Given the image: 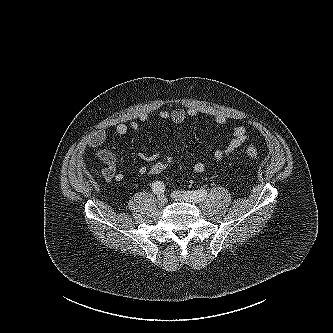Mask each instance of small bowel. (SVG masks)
Here are the masks:
<instances>
[{
    "label": "small bowel",
    "mask_w": 333,
    "mask_h": 333,
    "mask_svg": "<svg viewBox=\"0 0 333 333\" xmlns=\"http://www.w3.org/2000/svg\"><path fill=\"white\" fill-rule=\"evenodd\" d=\"M159 117L162 120H170L174 124H182L187 118L195 117L197 111L195 109L184 110L182 108H174L172 110L162 109L159 111ZM215 122L218 125H224L226 123V118L223 115H217L214 118ZM139 125L137 122L119 123L116 126V133L120 136L126 135L130 130L136 131ZM106 134L102 130L94 132L89 140L88 145L92 148H95L96 156L99 161L103 164V167L98 171V174L101 178L106 181L116 180L121 181L124 179V174L117 171L115 156L109 150L102 148L103 143L105 142ZM247 140V131L245 126L238 125L236 126L231 134V137L225 146V148H217L212 153V158L215 162L223 160L225 157L232 154L236 151L245 141ZM140 159L145 163L141 165L138 169L140 174H146L148 169V164L153 163L159 157V153H139ZM206 168V165L203 161L198 160L193 165V171L196 173H202Z\"/></svg>",
    "instance_id": "c3829d8e"
}]
</instances>
